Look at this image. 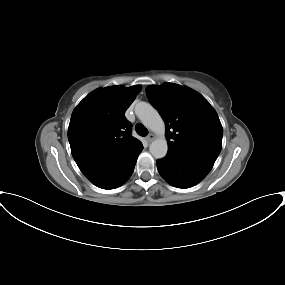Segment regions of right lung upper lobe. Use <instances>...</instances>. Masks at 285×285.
Wrapping results in <instances>:
<instances>
[{"label":"right lung upper lobe","instance_id":"obj_1","mask_svg":"<svg viewBox=\"0 0 285 285\" xmlns=\"http://www.w3.org/2000/svg\"><path fill=\"white\" fill-rule=\"evenodd\" d=\"M140 90L139 85L99 88L74 109L68 140L74 160L91 182L142 147L131 136V123L124 116Z\"/></svg>","mask_w":285,"mask_h":285}]
</instances>
